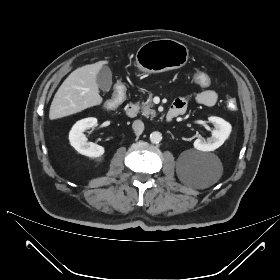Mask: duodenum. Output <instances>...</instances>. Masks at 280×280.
<instances>
[{
    "mask_svg": "<svg viewBox=\"0 0 280 280\" xmlns=\"http://www.w3.org/2000/svg\"><path fill=\"white\" fill-rule=\"evenodd\" d=\"M137 113H138V105L135 102H130L126 107L127 116L133 118L137 115ZM181 113L182 111L180 109L171 107L166 114V119L167 121H171Z\"/></svg>",
    "mask_w": 280,
    "mask_h": 280,
    "instance_id": "1",
    "label": "duodenum"
}]
</instances>
